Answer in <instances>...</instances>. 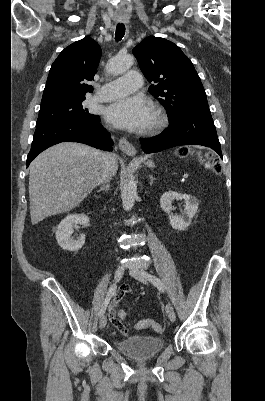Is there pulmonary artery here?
<instances>
[{
    "label": "pulmonary artery",
    "mask_w": 265,
    "mask_h": 401,
    "mask_svg": "<svg viewBox=\"0 0 265 401\" xmlns=\"http://www.w3.org/2000/svg\"><path fill=\"white\" fill-rule=\"evenodd\" d=\"M122 74L121 70L112 72L109 78L98 93L95 99L98 101H124L125 95H137L141 77L138 72H129L128 75ZM119 76L118 78H115Z\"/></svg>",
    "instance_id": "pulmonary-artery-1"
}]
</instances>
